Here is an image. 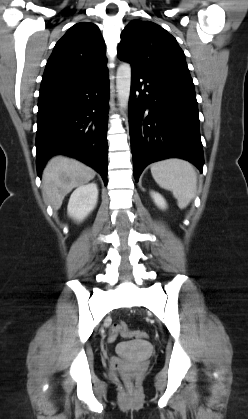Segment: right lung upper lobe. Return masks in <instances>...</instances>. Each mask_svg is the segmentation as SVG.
I'll use <instances>...</instances> for the list:
<instances>
[{
	"mask_svg": "<svg viewBox=\"0 0 248 419\" xmlns=\"http://www.w3.org/2000/svg\"><path fill=\"white\" fill-rule=\"evenodd\" d=\"M99 28L82 22L57 42L46 64L41 87L68 84L93 77L107 68Z\"/></svg>",
	"mask_w": 248,
	"mask_h": 419,
	"instance_id": "right-lung-upper-lobe-1",
	"label": "right lung upper lobe"
}]
</instances>
